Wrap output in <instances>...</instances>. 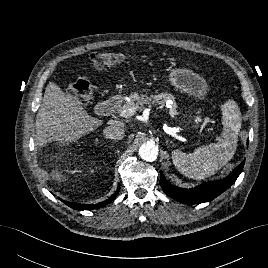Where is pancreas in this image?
<instances>
[{"mask_svg": "<svg viewBox=\"0 0 268 268\" xmlns=\"http://www.w3.org/2000/svg\"><path fill=\"white\" fill-rule=\"evenodd\" d=\"M168 101H171V103ZM144 104H159L162 107L167 105L169 108V114L172 118H175L179 114L177 110L178 105L175 102L174 96L166 92L150 96L133 93L129 96V102L119 105L118 110H120L122 107H135L136 109H140Z\"/></svg>", "mask_w": 268, "mask_h": 268, "instance_id": "1", "label": "pancreas"}]
</instances>
